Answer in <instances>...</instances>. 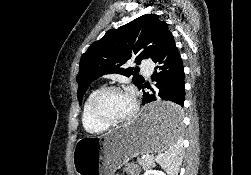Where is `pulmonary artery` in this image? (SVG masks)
<instances>
[{"label": "pulmonary artery", "instance_id": "e3ab8cb5", "mask_svg": "<svg viewBox=\"0 0 251 175\" xmlns=\"http://www.w3.org/2000/svg\"><path fill=\"white\" fill-rule=\"evenodd\" d=\"M153 62H149V58H144V62H142V75H151L153 70Z\"/></svg>", "mask_w": 251, "mask_h": 175}]
</instances>
